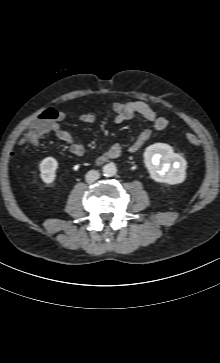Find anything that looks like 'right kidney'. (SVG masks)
Wrapping results in <instances>:
<instances>
[{"label": "right kidney", "instance_id": "right-kidney-1", "mask_svg": "<svg viewBox=\"0 0 220 363\" xmlns=\"http://www.w3.org/2000/svg\"><path fill=\"white\" fill-rule=\"evenodd\" d=\"M58 168V162L53 157H47L40 163V177L43 182L49 184L55 180L56 169Z\"/></svg>", "mask_w": 220, "mask_h": 363}]
</instances>
